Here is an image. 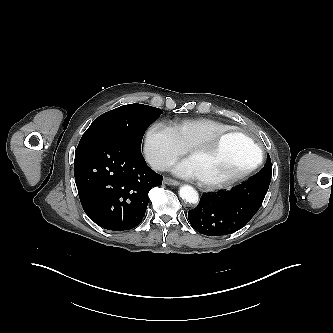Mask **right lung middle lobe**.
<instances>
[{
  "mask_svg": "<svg viewBox=\"0 0 333 333\" xmlns=\"http://www.w3.org/2000/svg\"><path fill=\"white\" fill-rule=\"evenodd\" d=\"M163 111L143 104H128L108 111L89 126L80 141L113 140L141 149L147 127Z\"/></svg>",
  "mask_w": 333,
  "mask_h": 333,
  "instance_id": "1",
  "label": "right lung middle lobe"
}]
</instances>
